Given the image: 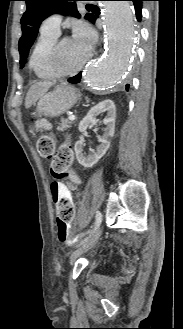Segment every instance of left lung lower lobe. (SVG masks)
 Instances as JSON below:
<instances>
[{
    "mask_svg": "<svg viewBox=\"0 0 183 329\" xmlns=\"http://www.w3.org/2000/svg\"><path fill=\"white\" fill-rule=\"evenodd\" d=\"M130 1H133L134 6H135L136 17H137L138 21H140V19L142 17V12H141L142 2L145 0H130ZM96 18L97 17L94 15L93 23L95 22ZM80 79H81V72L79 74L75 75L74 77L69 78L68 82L76 84V83L80 82ZM128 89H129V84L126 85V90L128 91Z\"/></svg>",
    "mask_w": 183,
    "mask_h": 329,
    "instance_id": "obj_1",
    "label": "left lung lower lobe"
}]
</instances>
